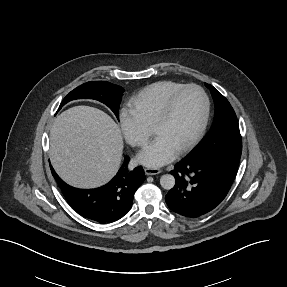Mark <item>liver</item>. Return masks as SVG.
<instances>
[{
  "label": "liver",
  "mask_w": 287,
  "mask_h": 287,
  "mask_svg": "<svg viewBox=\"0 0 287 287\" xmlns=\"http://www.w3.org/2000/svg\"><path fill=\"white\" fill-rule=\"evenodd\" d=\"M122 151L118 125L94 107L75 106L62 112L50 131L51 164L74 187L107 183L120 167Z\"/></svg>",
  "instance_id": "1"
}]
</instances>
